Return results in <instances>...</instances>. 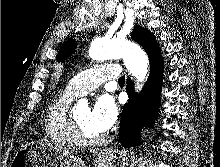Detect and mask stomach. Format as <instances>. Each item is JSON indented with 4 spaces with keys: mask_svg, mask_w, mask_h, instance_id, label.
I'll use <instances>...</instances> for the list:
<instances>
[{
    "mask_svg": "<svg viewBox=\"0 0 220 167\" xmlns=\"http://www.w3.org/2000/svg\"><path fill=\"white\" fill-rule=\"evenodd\" d=\"M125 159V154L118 153ZM117 152L100 153L94 160V167H114ZM11 167H86L81 158L71 155L62 156L53 148L40 144H26L15 154Z\"/></svg>",
    "mask_w": 220,
    "mask_h": 167,
    "instance_id": "1",
    "label": "stomach"
}]
</instances>
